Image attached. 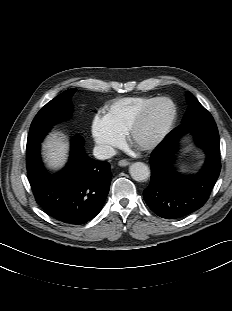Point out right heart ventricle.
Returning a JSON list of instances; mask_svg holds the SVG:
<instances>
[{
	"instance_id": "obj_1",
	"label": "right heart ventricle",
	"mask_w": 232,
	"mask_h": 311,
	"mask_svg": "<svg viewBox=\"0 0 232 311\" xmlns=\"http://www.w3.org/2000/svg\"><path fill=\"white\" fill-rule=\"evenodd\" d=\"M155 98L153 96L118 98L106 107L104 118L116 133L125 135L139 111Z\"/></svg>"
}]
</instances>
